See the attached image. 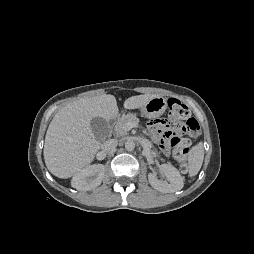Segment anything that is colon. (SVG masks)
Listing matches in <instances>:
<instances>
[{"label":"colon","mask_w":254,"mask_h":254,"mask_svg":"<svg viewBox=\"0 0 254 254\" xmlns=\"http://www.w3.org/2000/svg\"><path fill=\"white\" fill-rule=\"evenodd\" d=\"M167 105L169 118L165 121L173 127L163 131V141L172 147L173 158L180 163L181 170L186 171V154L191 141L200 134V125L197 120L190 117L188 106L180 100L170 98Z\"/></svg>","instance_id":"1"}]
</instances>
